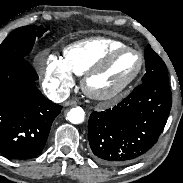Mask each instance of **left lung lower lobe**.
Wrapping results in <instances>:
<instances>
[{"instance_id":"1","label":"left lung lower lobe","mask_w":183,"mask_h":183,"mask_svg":"<svg viewBox=\"0 0 183 183\" xmlns=\"http://www.w3.org/2000/svg\"><path fill=\"white\" fill-rule=\"evenodd\" d=\"M172 96L166 82H144L112 109L93 112L88 138L95 160L120 166L138 160L157 142Z\"/></svg>"}]
</instances>
